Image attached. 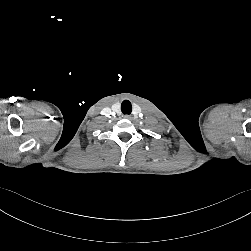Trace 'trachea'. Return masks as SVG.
Here are the masks:
<instances>
[{
  "label": "trachea",
  "mask_w": 251,
  "mask_h": 251,
  "mask_svg": "<svg viewBox=\"0 0 251 251\" xmlns=\"http://www.w3.org/2000/svg\"><path fill=\"white\" fill-rule=\"evenodd\" d=\"M121 111L123 114H130L132 112V105L128 100L122 102Z\"/></svg>",
  "instance_id": "3493384b"
}]
</instances>
